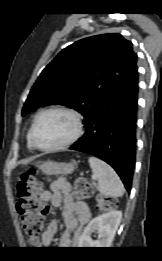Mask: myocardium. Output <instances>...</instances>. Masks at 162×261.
<instances>
[{
    "instance_id": "myocardium-1",
    "label": "myocardium",
    "mask_w": 162,
    "mask_h": 261,
    "mask_svg": "<svg viewBox=\"0 0 162 261\" xmlns=\"http://www.w3.org/2000/svg\"><path fill=\"white\" fill-rule=\"evenodd\" d=\"M56 111L69 114L74 120L75 130H74L73 134L65 141H63L57 145H54V146L42 147L37 144L36 139H35L36 126L38 124V121L40 120V118L43 115L50 113V112H56ZM82 133H83V118H82L81 114L71 107L64 106V105H54V106L48 107V108L40 111L35 116L33 124L30 128V142H31L32 147L39 151L53 152V151L62 150L64 148H67V147L73 145L81 137Z\"/></svg>"
}]
</instances>
